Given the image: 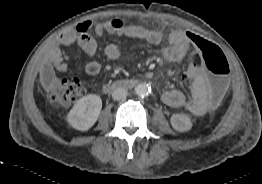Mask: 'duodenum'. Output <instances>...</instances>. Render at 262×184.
<instances>
[{
    "label": "duodenum",
    "instance_id": "obj_1",
    "mask_svg": "<svg viewBox=\"0 0 262 184\" xmlns=\"http://www.w3.org/2000/svg\"><path fill=\"white\" fill-rule=\"evenodd\" d=\"M136 84H137L136 80H121L115 84L106 85L104 87V90L109 91V90L116 89V88H129Z\"/></svg>",
    "mask_w": 262,
    "mask_h": 184
}]
</instances>
